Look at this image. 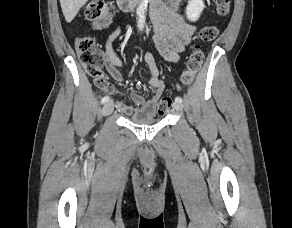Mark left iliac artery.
<instances>
[{
    "instance_id": "1",
    "label": "left iliac artery",
    "mask_w": 292,
    "mask_h": 228,
    "mask_svg": "<svg viewBox=\"0 0 292 228\" xmlns=\"http://www.w3.org/2000/svg\"><path fill=\"white\" fill-rule=\"evenodd\" d=\"M175 101L176 102H182V98L178 96V97L175 98Z\"/></svg>"
}]
</instances>
